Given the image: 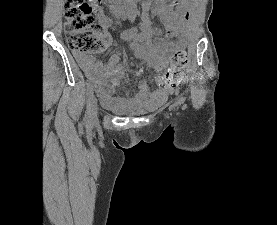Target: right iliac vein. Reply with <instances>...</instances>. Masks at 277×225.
<instances>
[{"instance_id":"obj_1","label":"right iliac vein","mask_w":277,"mask_h":225,"mask_svg":"<svg viewBox=\"0 0 277 225\" xmlns=\"http://www.w3.org/2000/svg\"><path fill=\"white\" fill-rule=\"evenodd\" d=\"M89 113L90 120H95L97 118V100L94 96H92L90 101Z\"/></svg>"}]
</instances>
